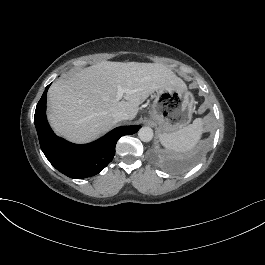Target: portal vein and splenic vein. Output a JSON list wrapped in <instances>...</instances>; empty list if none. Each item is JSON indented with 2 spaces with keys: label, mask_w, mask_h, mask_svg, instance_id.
<instances>
[{
  "label": "portal vein and splenic vein",
  "mask_w": 265,
  "mask_h": 265,
  "mask_svg": "<svg viewBox=\"0 0 265 265\" xmlns=\"http://www.w3.org/2000/svg\"><path fill=\"white\" fill-rule=\"evenodd\" d=\"M124 93H130L131 94V93H134V90L120 89L119 93L117 95V99L120 100L123 97Z\"/></svg>",
  "instance_id": "portal-vein-and-splenic-vein-1"
}]
</instances>
